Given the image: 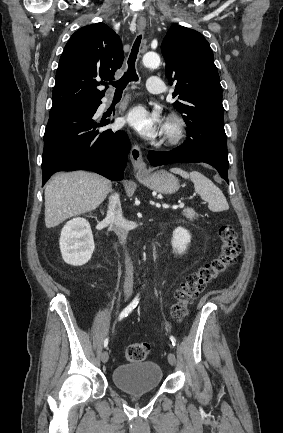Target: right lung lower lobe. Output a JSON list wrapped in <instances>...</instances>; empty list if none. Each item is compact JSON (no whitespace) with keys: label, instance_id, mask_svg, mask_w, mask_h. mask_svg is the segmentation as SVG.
<instances>
[{"label":"right lung lower lobe","instance_id":"98d812e1","mask_svg":"<svg viewBox=\"0 0 283 433\" xmlns=\"http://www.w3.org/2000/svg\"><path fill=\"white\" fill-rule=\"evenodd\" d=\"M100 104L50 113L44 134L42 186L58 171L90 170L110 180L123 179L131 144L124 131L104 128L111 121L96 118Z\"/></svg>","mask_w":283,"mask_h":433}]
</instances>
